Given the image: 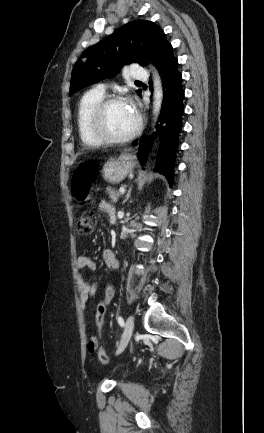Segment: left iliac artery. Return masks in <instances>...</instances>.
I'll use <instances>...</instances> for the list:
<instances>
[{
	"label": "left iliac artery",
	"instance_id": "obj_1",
	"mask_svg": "<svg viewBox=\"0 0 264 433\" xmlns=\"http://www.w3.org/2000/svg\"><path fill=\"white\" fill-rule=\"evenodd\" d=\"M117 320H118V323L120 324V326H124V320H123V318L121 317V316H119L118 318H117Z\"/></svg>",
	"mask_w": 264,
	"mask_h": 433
}]
</instances>
